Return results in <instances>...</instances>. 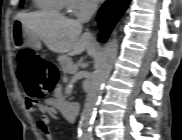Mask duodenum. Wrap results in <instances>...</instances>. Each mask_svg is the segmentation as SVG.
Masks as SVG:
<instances>
[{"label":"duodenum","mask_w":182,"mask_h":140,"mask_svg":"<svg viewBox=\"0 0 182 140\" xmlns=\"http://www.w3.org/2000/svg\"><path fill=\"white\" fill-rule=\"evenodd\" d=\"M60 110L68 117L69 120L74 121L78 113V105L76 103L64 102L60 106Z\"/></svg>","instance_id":"duodenum-1"}]
</instances>
